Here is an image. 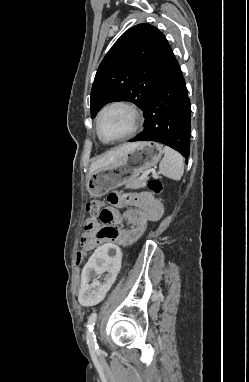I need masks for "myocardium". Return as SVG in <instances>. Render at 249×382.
I'll use <instances>...</instances> for the list:
<instances>
[{"label":"myocardium","mask_w":249,"mask_h":382,"mask_svg":"<svg viewBox=\"0 0 249 382\" xmlns=\"http://www.w3.org/2000/svg\"><path fill=\"white\" fill-rule=\"evenodd\" d=\"M113 108H121V109H124L128 112V114L130 116V129L127 133H125L119 137L112 138V139H105L104 137H102V135L100 133V121H101V118L103 117V115L107 111H109ZM142 120H143L142 115H141L140 111L138 110V108L134 104L127 102V101L116 100V101H112V102L106 104L105 106H103L101 108V110L99 111V113L96 117L95 129H96V133H97L98 138L102 142H104V143H115V142H119V141H124V140L129 139L132 136H134L135 133L137 132V130L139 129V127L141 126Z\"/></svg>","instance_id":"f54148a6"}]
</instances>
